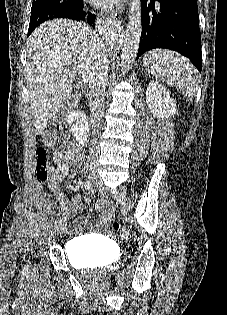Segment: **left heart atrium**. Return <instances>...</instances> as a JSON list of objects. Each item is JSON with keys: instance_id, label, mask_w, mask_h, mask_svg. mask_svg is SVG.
I'll use <instances>...</instances> for the list:
<instances>
[{"instance_id": "obj_1", "label": "left heart atrium", "mask_w": 227, "mask_h": 315, "mask_svg": "<svg viewBox=\"0 0 227 315\" xmlns=\"http://www.w3.org/2000/svg\"><path fill=\"white\" fill-rule=\"evenodd\" d=\"M92 2L104 9H115L120 5L121 0H92Z\"/></svg>"}]
</instances>
